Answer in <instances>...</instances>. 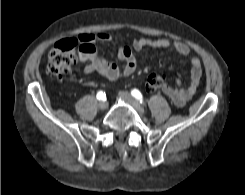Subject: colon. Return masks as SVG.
I'll return each instance as SVG.
<instances>
[{"label":"colon","instance_id":"1","mask_svg":"<svg viewBox=\"0 0 245 195\" xmlns=\"http://www.w3.org/2000/svg\"><path fill=\"white\" fill-rule=\"evenodd\" d=\"M80 49V48H79ZM77 61V41L75 39H64L52 48L47 65V73L55 78H62L68 74ZM165 76L151 73L145 81L147 92H156L164 87Z\"/></svg>","mask_w":245,"mask_h":195}]
</instances>
